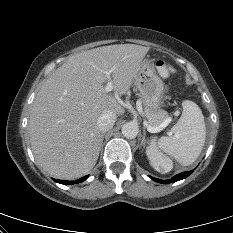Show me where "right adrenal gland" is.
Listing matches in <instances>:
<instances>
[{
	"mask_svg": "<svg viewBox=\"0 0 233 233\" xmlns=\"http://www.w3.org/2000/svg\"><path fill=\"white\" fill-rule=\"evenodd\" d=\"M104 135H105V133H102V135H101V137H102V139H101V144H102V142H103Z\"/></svg>",
	"mask_w": 233,
	"mask_h": 233,
	"instance_id": "right-adrenal-gland-1",
	"label": "right adrenal gland"
}]
</instances>
